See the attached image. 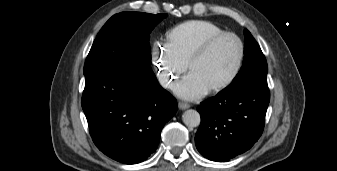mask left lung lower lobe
<instances>
[{
  "instance_id": "obj_1",
  "label": "left lung lower lobe",
  "mask_w": 337,
  "mask_h": 171,
  "mask_svg": "<svg viewBox=\"0 0 337 171\" xmlns=\"http://www.w3.org/2000/svg\"><path fill=\"white\" fill-rule=\"evenodd\" d=\"M270 100L267 85L250 84L220 92L200 104L195 136L206 158L226 162L249 150L260 138Z\"/></svg>"
}]
</instances>
